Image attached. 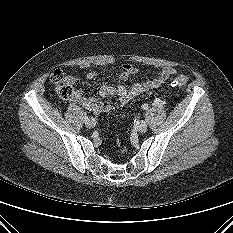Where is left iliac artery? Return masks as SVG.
<instances>
[{
	"label": "left iliac artery",
	"mask_w": 233,
	"mask_h": 233,
	"mask_svg": "<svg viewBox=\"0 0 233 233\" xmlns=\"http://www.w3.org/2000/svg\"><path fill=\"white\" fill-rule=\"evenodd\" d=\"M164 104V102H160V100H155V103H154V105H159V104ZM142 108L144 109V110H147L148 109V105L147 104H143L142 105Z\"/></svg>",
	"instance_id": "1"
}]
</instances>
